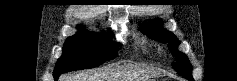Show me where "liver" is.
I'll return each mask as SVG.
<instances>
[{"mask_svg": "<svg viewBox=\"0 0 237 81\" xmlns=\"http://www.w3.org/2000/svg\"><path fill=\"white\" fill-rule=\"evenodd\" d=\"M130 68L131 78H124L128 72L125 70L126 66H120L110 69L70 73L65 75L61 81H124L123 79L145 81L148 77L157 75L156 72L145 69L144 66H130Z\"/></svg>", "mask_w": 237, "mask_h": 81, "instance_id": "liver-1", "label": "liver"}]
</instances>
